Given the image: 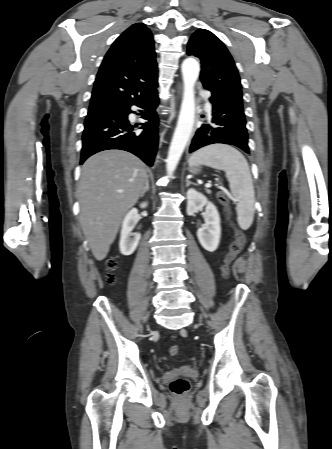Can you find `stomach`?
Instances as JSON below:
<instances>
[{
    "mask_svg": "<svg viewBox=\"0 0 332 449\" xmlns=\"http://www.w3.org/2000/svg\"><path fill=\"white\" fill-rule=\"evenodd\" d=\"M200 171L198 167H189V172L192 174H197Z\"/></svg>",
    "mask_w": 332,
    "mask_h": 449,
    "instance_id": "1",
    "label": "stomach"
}]
</instances>
